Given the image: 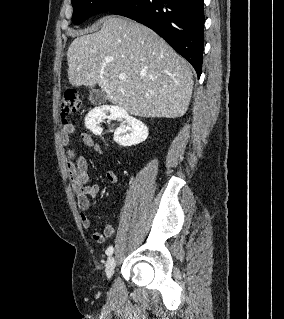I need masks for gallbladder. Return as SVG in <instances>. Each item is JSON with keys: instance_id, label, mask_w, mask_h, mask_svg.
<instances>
[{"instance_id": "1", "label": "gallbladder", "mask_w": 284, "mask_h": 319, "mask_svg": "<svg viewBox=\"0 0 284 319\" xmlns=\"http://www.w3.org/2000/svg\"><path fill=\"white\" fill-rule=\"evenodd\" d=\"M89 100L94 105H102V104L106 103L107 95L103 91L96 90V89L92 88L90 90Z\"/></svg>"}]
</instances>
